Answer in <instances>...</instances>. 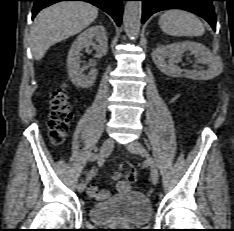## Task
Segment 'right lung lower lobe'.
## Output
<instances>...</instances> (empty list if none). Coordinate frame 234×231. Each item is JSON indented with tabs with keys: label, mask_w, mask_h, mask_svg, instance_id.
I'll list each match as a JSON object with an SVG mask.
<instances>
[{
	"label": "right lung lower lobe",
	"mask_w": 234,
	"mask_h": 231,
	"mask_svg": "<svg viewBox=\"0 0 234 231\" xmlns=\"http://www.w3.org/2000/svg\"><path fill=\"white\" fill-rule=\"evenodd\" d=\"M34 7H33V16L34 18L36 14L43 8L57 3L59 1H86L89 2L100 9L107 12L109 15L113 17V19L116 21L117 25L120 26L121 20H122V12H123V6L122 1L124 0H34Z\"/></svg>",
	"instance_id": "right-lung-lower-lobe-1"
}]
</instances>
